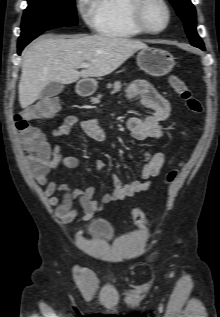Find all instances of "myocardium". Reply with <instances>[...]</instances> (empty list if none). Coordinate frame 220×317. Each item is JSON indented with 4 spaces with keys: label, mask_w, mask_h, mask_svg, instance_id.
I'll return each mask as SVG.
<instances>
[{
    "label": "myocardium",
    "mask_w": 220,
    "mask_h": 317,
    "mask_svg": "<svg viewBox=\"0 0 220 317\" xmlns=\"http://www.w3.org/2000/svg\"><path fill=\"white\" fill-rule=\"evenodd\" d=\"M150 2H158L163 6L166 12V23L160 29L151 28L145 20V9ZM131 16L133 23L144 33L159 34L164 32L171 23L172 11L166 0H135L131 8Z\"/></svg>",
    "instance_id": "f54148a6"
}]
</instances>
